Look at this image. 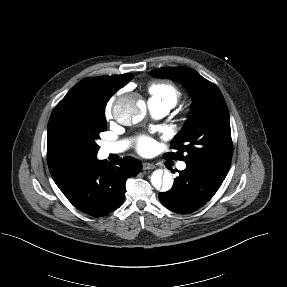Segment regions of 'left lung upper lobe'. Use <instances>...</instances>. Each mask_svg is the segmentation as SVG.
<instances>
[{
    "instance_id": "1",
    "label": "left lung upper lobe",
    "mask_w": 287,
    "mask_h": 287,
    "mask_svg": "<svg viewBox=\"0 0 287 287\" xmlns=\"http://www.w3.org/2000/svg\"><path fill=\"white\" fill-rule=\"evenodd\" d=\"M150 74L182 82L193 99L188 120L170 143L175 151L164 157L203 167L225 179L233 146L228 108L218 87L185 67L160 68Z\"/></svg>"
}]
</instances>
